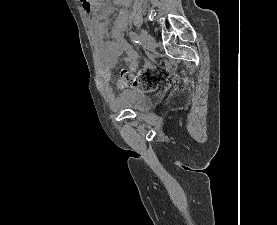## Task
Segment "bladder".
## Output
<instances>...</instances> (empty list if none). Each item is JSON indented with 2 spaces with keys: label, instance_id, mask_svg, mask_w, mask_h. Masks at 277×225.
<instances>
[{
  "label": "bladder",
  "instance_id": "1",
  "mask_svg": "<svg viewBox=\"0 0 277 225\" xmlns=\"http://www.w3.org/2000/svg\"><path fill=\"white\" fill-rule=\"evenodd\" d=\"M114 107L117 110H132L136 113H145L151 107V99L143 92L134 89L125 90Z\"/></svg>",
  "mask_w": 277,
  "mask_h": 225
}]
</instances>
